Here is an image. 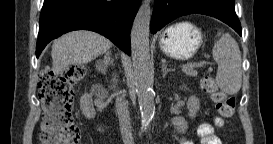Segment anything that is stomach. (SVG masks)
Segmentation results:
<instances>
[{
    "label": "stomach",
    "mask_w": 273,
    "mask_h": 144,
    "mask_svg": "<svg viewBox=\"0 0 273 144\" xmlns=\"http://www.w3.org/2000/svg\"><path fill=\"white\" fill-rule=\"evenodd\" d=\"M202 41L201 31L184 22L165 29L159 36V47L169 57L186 60L195 55Z\"/></svg>",
    "instance_id": "stomach-1"
}]
</instances>
